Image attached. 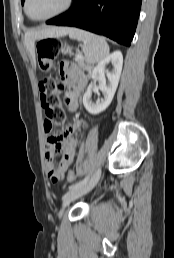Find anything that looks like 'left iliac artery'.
I'll use <instances>...</instances> for the list:
<instances>
[{
	"label": "left iliac artery",
	"mask_w": 174,
	"mask_h": 258,
	"mask_svg": "<svg viewBox=\"0 0 174 258\" xmlns=\"http://www.w3.org/2000/svg\"><path fill=\"white\" fill-rule=\"evenodd\" d=\"M88 179H89V176H87L83 180L79 181L78 183L69 186V190H73V189H76V188H79V187L85 185L87 183Z\"/></svg>",
	"instance_id": "44dca946"
}]
</instances>
